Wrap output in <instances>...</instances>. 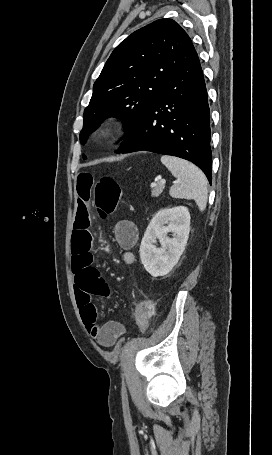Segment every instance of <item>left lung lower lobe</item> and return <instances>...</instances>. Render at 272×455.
<instances>
[{"label": "left lung lower lobe", "instance_id": "0a47b994", "mask_svg": "<svg viewBox=\"0 0 272 455\" xmlns=\"http://www.w3.org/2000/svg\"><path fill=\"white\" fill-rule=\"evenodd\" d=\"M139 150L191 161L211 183L210 110L198 57L167 82L116 153Z\"/></svg>", "mask_w": 272, "mask_h": 455}]
</instances>
